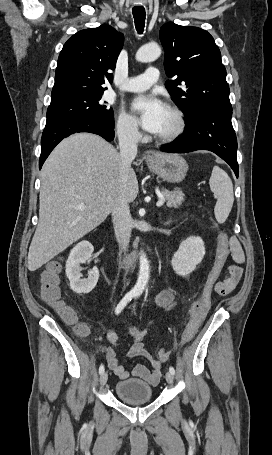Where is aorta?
Instances as JSON below:
<instances>
[{
	"instance_id": "1",
	"label": "aorta",
	"mask_w": 272,
	"mask_h": 455,
	"mask_svg": "<svg viewBox=\"0 0 272 455\" xmlns=\"http://www.w3.org/2000/svg\"><path fill=\"white\" fill-rule=\"evenodd\" d=\"M161 55V48L156 43H150L142 46L136 53V60L139 62H151ZM149 261L144 253L140 255V267L138 280L133 288L137 293H142L149 280Z\"/></svg>"
}]
</instances>
